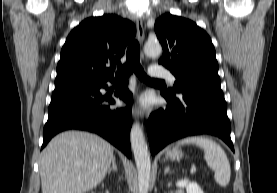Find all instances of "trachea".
I'll use <instances>...</instances> for the list:
<instances>
[{"label":"trachea","mask_w":277,"mask_h":193,"mask_svg":"<svg viewBox=\"0 0 277 193\" xmlns=\"http://www.w3.org/2000/svg\"><path fill=\"white\" fill-rule=\"evenodd\" d=\"M135 73L138 78L147 83H162L164 81L149 78L140 64V47L137 40H133L127 49L126 63L117 68L115 81H123L130 74Z\"/></svg>","instance_id":"1"}]
</instances>
